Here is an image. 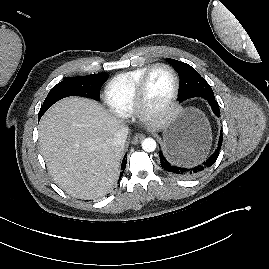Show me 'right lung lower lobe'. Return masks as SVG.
<instances>
[{"label":"right lung lower lobe","instance_id":"98d812e1","mask_svg":"<svg viewBox=\"0 0 269 269\" xmlns=\"http://www.w3.org/2000/svg\"><path fill=\"white\" fill-rule=\"evenodd\" d=\"M125 158H126V156H124L123 161H122V165H121L122 172L120 173V179H121V176L123 175V172L125 170L126 163H127V159H125Z\"/></svg>","mask_w":269,"mask_h":269}]
</instances>
